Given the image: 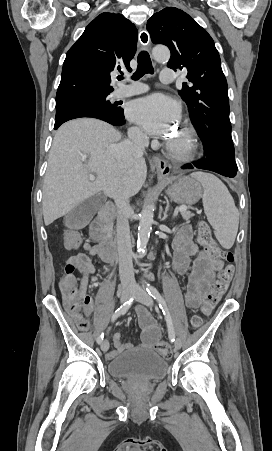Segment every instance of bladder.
Instances as JSON below:
<instances>
[{
    "label": "bladder",
    "mask_w": 272,
    "mask_h": 451,
    "mask_svg": "<svg viewBox=\"0 0 272 451\" xmlns=\"http://www.w3.org/2000/svg\"><path fill=\"white\" fill-rule=\"evenodd\" d=\"M106 370L111 377L119 380L134 379L154 381L164 379L168 362L164 357L153 351H129L119 354L109 361Z\"/></svg>",
    "instance_id": "obj_1"
}]
</instances>
